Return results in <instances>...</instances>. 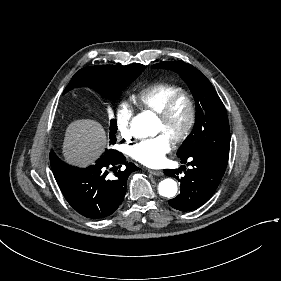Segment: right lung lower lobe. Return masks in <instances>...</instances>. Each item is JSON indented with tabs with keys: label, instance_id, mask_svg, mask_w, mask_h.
Here are the masks:
<instances>
[{
	"label": "right lung lower lobe",
	"instance_id": "right-lung-lower-lobe-1",
	"mask_svg": "<svg viewBox=\"0 0 281 281\" xmlns=\"http://www.w3.org/2000/svg\"><path fill=\"white\" fill-rule=\"evenodd\" d=\"M122 165L123 170H117ZM137 169L116 150H109L87 168L52 167L65 199L90 219L104 218L116 211L124 199L127 179ZM109 171L115 177L107 176Z\"/></svg>",
	"mask_w": 281,
	"mask_h": 281
}]
</instances>
